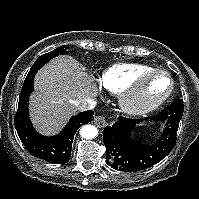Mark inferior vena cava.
<instances>
[{
  "mask_svg": "<svg viewBox=\"0 0 199 199\" xmlns=\"http://www.w3.org/2000/svg\"><path fill=\"white\" fill-rule=\"evenodd\" d=\"M77 110L79 111H87L92 110L96 106V101L94 99H86L82 101H77L75 103Z\"/></svg>",
  "mask_w": 199,
  "mask_h": 199,
  "instance_id": "obj_1",
  "label": "inferior vena cava"
}]
</instances>
